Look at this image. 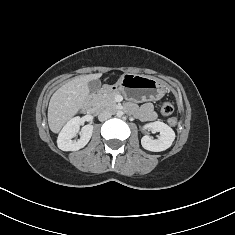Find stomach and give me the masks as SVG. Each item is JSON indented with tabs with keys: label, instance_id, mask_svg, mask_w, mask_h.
<instances>
[{
	"label": "stomach",
	"instance_id": "obj_1",
	"mask_svg": "<svg viewBox=\"0 0 235 235\" xmlns=\"http://www.w3.org/2000/svg\"><path fill=\"white\" fill-rule=\"evenodd\" d=\"M109 90L122 93L129 101L140 103L161 99L165 94L166 85L152 76L127 73L110 86Z\"/></svg>",
	"mask_w": 235,
	"mask_h": 235
}]
</instances>
